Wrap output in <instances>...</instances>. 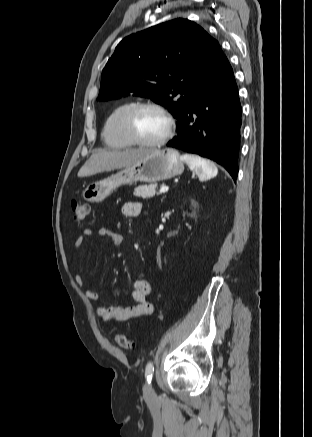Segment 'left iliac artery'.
I'll use <instances>...</instances> for the list:
<instances>
[{"label":"left iliac artery","mask_w":312,"mask_h":437,"mask_svg":"<svg viewBox=\"0 0 312 437\" xmlns=\"http://www.w3.org/2000/svg\"><path fill=\"white\" fill-rule=\"evenodd\" d=\"M153 372H154V366L152 362H148V364L146 365L145 368V377L147 382L150 384L152 377H153Z\"/></svg>","instance_id":"44dca946"}]
</instances>
